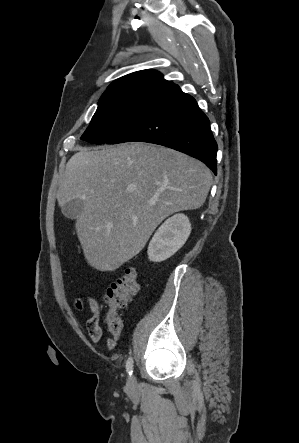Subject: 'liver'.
<instances>
[{"instance_id": "1", "label": "liver", "mask_w": 299, "mask_h": 443, "mask_svg": "<svg viewBox=\"0 0 299 443\" xmlns=\"http://www.w3.org/2000/svg\"><path fill=\"white\" fill-rule=\"evenodd\" d=\"M210 169L176 150L143 142L81 148L66 164L57 200L80 198L75 228L87 262L114 271L136 256L169 215L200 208Z\"/></svg>"}]
</instances>
